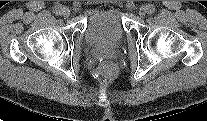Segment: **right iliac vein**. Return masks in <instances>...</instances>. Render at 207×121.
I'll return each mask as SVG.
<instances>
[{
    "label": "right iliac vein",
    "instance_id": "right-iliac-vein-1",
    "mask_svg": "<svg viewBox=\"0 0 207 121\" xmlns=\"http://www.w3.org/2000/svg\"><path fill=\"white\" fill-rule=\"evenodd\" d=\"M61 15L64 18H68L69 15H70V10L68 8H66V7H62Z\"/></svg>",
    "mask_w": 207,
    "mask_h": 121
}]
</instances>
